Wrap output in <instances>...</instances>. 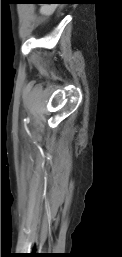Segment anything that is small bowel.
<instances>
[{"mask_svg": "<svg viewBox=\"0 0 122 257\" xmlns=\"http://www.w3.org/2000/svg\"><path fill=\"white\" fill-rule=\"evenodd\" d=\"M53 11V7L52 6H43L40 10L42 16L44 17H48Z\"/></svg>", "mask_w": 122, "mask_h": 257, "instance_id": "c3829d8e", "label": "small bowel"}]
</instances>
